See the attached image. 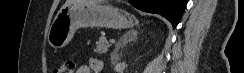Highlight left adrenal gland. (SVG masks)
<instances>
[{
    "label": "left adrenal gland",
    "instance_id": "a2214340",
    "mask_svg": "<svg viewBox=\"0 0 244 73\" xmlns=\"http://www.w3.org/2000/svg\"><path fill=\"white\" fill-rule=\"evenodd\" d=\"M137 35H138V31L134 29L126 32L116 43V48L114 52L117 54L119 50L124 48L127 43L135 41L137 39Z\"/></svg>",
    "mask_w": 244,
    "mask_h": 73
}]
</instances>
